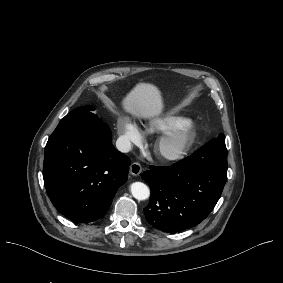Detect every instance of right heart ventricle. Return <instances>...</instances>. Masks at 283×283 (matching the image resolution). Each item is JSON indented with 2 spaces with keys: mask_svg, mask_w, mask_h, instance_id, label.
<instances>
[{
  "mask_svg": "<svg viewBox=\"0 0 283 283\" xmlns=\"http://www.w3.org/2000/svg\"><path fill=\"white\" fill-rule=\"evenodd\" d=\"M184 120H186V118L180 115H166L163 117L155 118L153 122L157 125V129L161 131H168L175 128L180 122Z\"/></svg>",
  "mask_w": 283,
  "mask_h": 283,
  "instance_id": "right-heart-ventricle-1",
  "label": "right heart ventricle"
}]
</instances>
